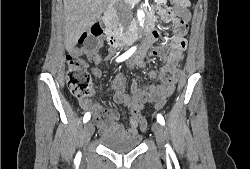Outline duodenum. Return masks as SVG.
Segmentation results:
<instances>
[{"label": "duodenum", "instance_id": "1", "mask_svg": "<svg viewBox=\"0 0 250 169\" xmlns=\"http://www.w3.org/2000/svg\"><path fill=\"white\" fill-rule=\"evenodd\" d=\"M104 23L107 29L106 38L109 44L114 48L131 44L136 41H144V43H148L151 38V35H149V29L147 27L141 28L137 23H135L134 27L128 33L120 31L114 26L113 18L109 12L104 14Z\"/></svg>", "mask_w": 250, "mask_h": 169}]
</instances>
